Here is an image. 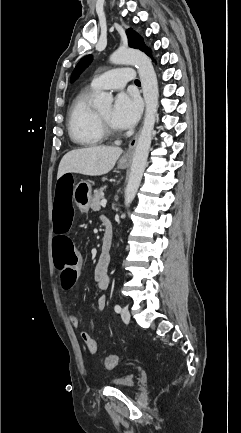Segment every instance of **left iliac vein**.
<instances>
[{"label":"left iliac vein","instance_id":"obj_1","mask_svg":"<svg viewBox=\"0 0 241 433\" xmlns=\"http://www.w3.org/2000/svg\"><path fill=\"white\" fill-rule=\"evenodd\" d=\"M121 318L124 322L128 323L130 321V313L127 307H123L121 311Z\"/></svg>","mask_w":241,"mask_h":433}]
</instances>
